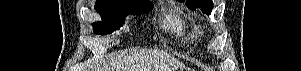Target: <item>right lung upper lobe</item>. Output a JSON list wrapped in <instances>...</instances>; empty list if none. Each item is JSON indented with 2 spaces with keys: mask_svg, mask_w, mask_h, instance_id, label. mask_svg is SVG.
<instances>
[{
  "mask_svg": "<svg viewBox=\"0 0 301 71\" xmlns=\"http://www.w3.org/2000/svg\"><path fill=\"white\" fill-rule=\"evenodd\" d=\"M115 1L133 2V3H151L150 0H115Z\"/></svg>",
  "mask_w": 301,
  "mask_h": 71,
  "instance_id": "obj_1",
  "label": "right lung upper lobe"
}]
</instances>
